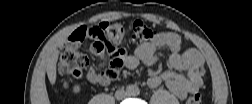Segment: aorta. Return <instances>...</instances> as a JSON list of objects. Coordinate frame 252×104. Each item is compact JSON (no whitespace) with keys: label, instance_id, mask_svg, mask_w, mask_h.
I'll return each mask as SVG.
<instances>
[{"label":"aorta","instance_id":"obj_1","mask_svg":"<svg viewBox=\"0 0 252 104\" xmlns=\"http://www.w3.org/2000/svg\"><path fill=\"white\" fill-rule=\"evenodd\" d=\"M139 92L138 87L134 85L127 86V94L131 96L137 95Z\"/></svg>","mask_w":252,"mask_h":104}]
</instances>
